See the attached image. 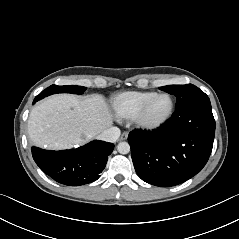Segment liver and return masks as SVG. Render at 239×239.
I'll return each mask as SVG.
<instances>
[{
  "label": "liver",
  "mask_w": 239,
  "mask_h": 239,
  "mask_svg": "<svg viewBox=\"0 0 239 239\" xmlns=\"http://www.w3.org/2000/svg\"><path fill=\"white\" fill-rule=\"evenodd\" d=\"M112 123V112L102 95L59 94L31 110L28 134L36 146L62 149L86 143Z\"/></svg>",
  "instance_id": "liver-1"
}]
</instances>
